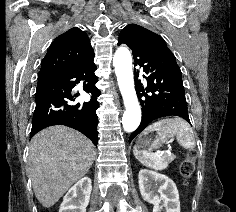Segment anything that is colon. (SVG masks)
<instances>
[{
	"label": "colon",
	"instance_id": "colon-1",
	"mask_svg": "<svg viewBox=\"0 0 236 212\" xmlns=\"http://www.w3.org/2000/svg\"><path fill=\"white\" fill-rule=\"evenodd\" d=\"M195 152H190L187 158L180 164V175L185 180L189 179L195 170Z\"/></svg>",
	"mask_w": 236,
	"mask_h": 212
}]
</instances>
